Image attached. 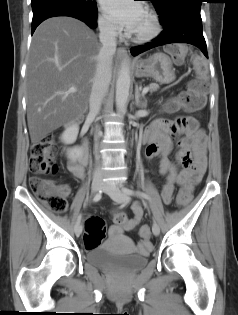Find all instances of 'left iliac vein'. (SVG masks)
<instances>
[{
	"label": "left iliac vein",
	"instance_id": "1",
	"mask_svg": "<svg viewBox=\"0 0 238 315\" xmlns=\"http://www.w3.org/2000/svg\"><path fill=\"white\" fill-rule=\"evenodd\" d=\"M103 190L117 203H124L129 200V196L115 184L104 183ZM152 232L155 236L159 235L160 228L157 223H153Z\"/></svg>",
	"mask_w": 238,
	"mask_h": 315
}]
</instances>
